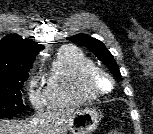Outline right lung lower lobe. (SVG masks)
I'll use <instances>...</instances> for the list:
<instances>
[{"instance_id": "obj_1", "label": "right lung lower lobe", "mask_w": 153, "mask_h": 134, "mask_svg": "<svg viewBox=\"0 0 153 134\" xmlns=\"http://www.w3.org/2000/svg\"><path fill=\"white\" fill-rule=\"evenodd\" d=\"M3 118H5V117H0V119H3Z\"/></svg>"}]
</instances>
